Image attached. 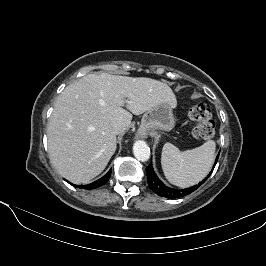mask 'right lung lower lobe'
I'll use <instances>...</instances> for the list:
<instances>
[{
    "mask_svg": "<svg viewBox=\"0 0 266 266\" xmlns=\"http://www.w3.org/2000/svg\"><path fill=\"white\" fill-rule=\"evenodd\" d=\"M111 175V169L108 171L107 174H105L102 178L94 181L93 183L87 184V185H73L74 187L80 188V189H95L102 185H104L110 178Z\"/></svg>",
    "mask_w": 266,
    "mask_h": 266,
    "instance_id": "obj_1",
    "label": "right lung lower lobe"
}]
</instances>
